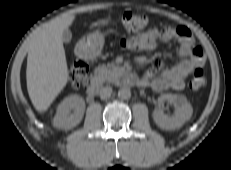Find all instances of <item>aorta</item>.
<instances>
[{"label": "aorta", "mask_w": 231, "mask_h": 170, "mask_svg": "<svg viewBox=\"0 0 231 170\" xmlns=\"http://www.w3.org/2000/svg\"><path fill=\"white\" fill-rule=\"evenodd\" d=\"M118 97L124 100H127L131 97V91L127 87H123L118 91Z\"/></svg>", "instance_id": "obj_1"}]
</instances>
